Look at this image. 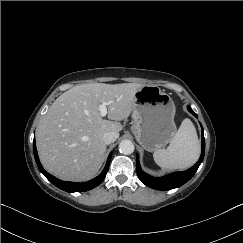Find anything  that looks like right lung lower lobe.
Instances as JSON below:
<instances>
[{
    "label": "right lung lower lobe",
    "instance_id": "right-lung-lower-lobe-1",
    "mask_svg": "<svg viewBox=\"0 0 243 243\" xmlns=\"http://www.w3.org/2000/svg\"><path fill=\"white\" fill-rule=\"evenodd\" d=\"M33 152H34V157H35V161L37 163V166L39 168V170L41 171V173L56 187L66 191V192H83V191H88L91 190L93 188H95L96 186H98L99 184H101L103 182V180L106 177V174L108 172L109 169V164L111 161V156H112V152L110 153V155L108 156L107 159V163L105 168L103 169L102 173L97 176L96 178L85 182V183H73V182H66V181H61L57 178H55L54 176H52L51 174H49L48 172H46L40 161L38 158V153L36 150V144H35V139L33 141Z\"/></svg>",
    "mask_w": 243,
    "mask_h": 243
}]
</instances>
